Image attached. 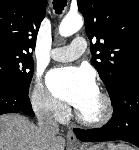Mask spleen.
Here are the masks:
<instances>
[{"label": "spleen", "instance_id": "1", "mask_svg": "<svg viewBox=\"0 0 139 150\" xmlns=\"http://www.w3.org/2000/svg\"><path fill=\"white\" fill-rule=\"evenodd\" d=\"M118 148H119V150H132L131 148H129L125 145H119Z\"/></svg>", "mask_w": 139, "mask_h": 150}]
</instances>
